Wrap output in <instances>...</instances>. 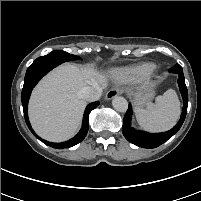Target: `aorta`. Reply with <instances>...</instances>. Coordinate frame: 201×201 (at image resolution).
<instances>
[{"label": "aorta", "mask_w": 201, "mask_h": 201, "mask_svg": "<svg viewBox=\"0 0 201 201\" xmlns=\"http://www.w3.org/2000/svg\"><path fill=\"white\" fill-rule=\"evenodd\" d=\"M113 108L118 112H126L128 109V102L124 97L115 96L112 100Z\"/></svg>", "instance_id": "1"}]
</instances>
